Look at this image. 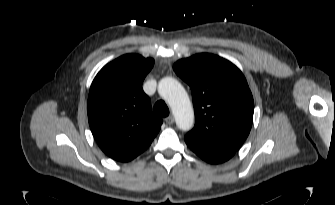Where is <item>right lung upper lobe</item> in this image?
<instances>
[{"label":"right lung upper lobe","mask_w":335,"mask_h":205,"mask_svg":"<svg viewBox=\"0 0 335 205\" xmlns=\"http://www.w3.org/2000/svg\"><path fill=\"white\" fill-rule=\"evenodd\" d=\"M154 60L137 54L123 55L105 65L90 87L87 113L95 140L114 160L127 162L151 144L162 119L151 111L142 89Z\"/></svg>","instance_id":"cb5924a9"}]
</instances>
